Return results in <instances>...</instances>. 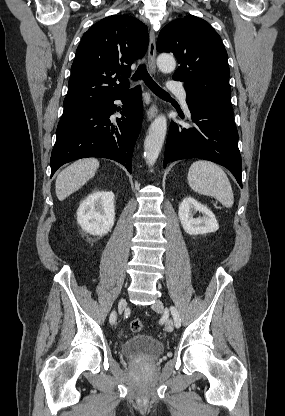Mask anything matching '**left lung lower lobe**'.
Returning <instances> with one entry per match:
<instances>
[{"mask_svg": "<svg viewBox=\"0 0 285 416\" xmlns=\"http://www.w3.org/2000/svg\"><path fill=\"white\" fill-rule=\"evenodd\" d=\"M188 108L195 125L183 128L171 123L165 147L164 168L168 162L180 159H206L225 166L242 187L238 132L232 109L189 104Z\"/></svg>", "mask_w": 285, "mask_h": 416, "instance_id": "1", "label": "left lung lower lobe"}]
</instances>
